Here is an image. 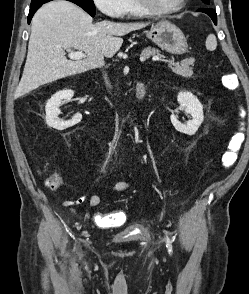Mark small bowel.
<instances>
[{
	"label": "small bowel",
	"instance_id": "1",
	"mask_svg": "<svg viewBox=\"0 0 249 294\" xmlns=\"http://www.w3.org/2000/svg\"><path fill=\"white\" fill-rule=\"evenodd\" d=\"M133 186L134 185L131 182L117 181L110 186L109 190L112 192H122V191H127L133 188ZM75 204H77V202L68 201L65 203V206L69 208L70 212L75 217H78ZM87 204L90 207H97L101 204V197L96 194L91 195L87 199ZM93 219H94L95 225L98 226L99 228L110 229V228H115L122 225L125 222L126 217L122 212L109 213V214L96 213ZM111 220H115V222H111Z\"/></svg>",
	"mask_w": 249,
	"mask_h": 294
}]
</instances>
